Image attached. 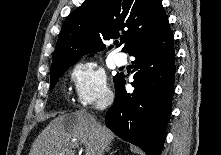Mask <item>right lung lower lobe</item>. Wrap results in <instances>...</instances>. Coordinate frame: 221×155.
<instances>
[{
  "label": "right lung lower lobe",
  "instance_id": "obj_1",
  "mask_svg": "<svg viewBox=\"0 0 221 155\" xmlns=\"http://www.w3.org/2000/svg\"><path fill=\"white\" fill-rule=\"evenodd\" d=\"M135 72L133 93L125 90L124 75L114 78L116 98L106 114V125L147 155H160L174 92V36L166 23L144 35L131 49Z\"/></svg>",
  "mask_w": 221,
  "mask_h": 155
}]
</instances>
